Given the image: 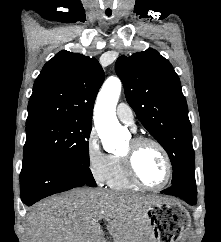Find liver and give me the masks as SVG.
I'll use <instances>...</instances> for the list:
<instances>
[{
    "label": "liver",
    "mask_w": 221,
    "mask_h": 242,
    "mask_svg": "<svg viewBox=\"0 0 221 242\" xmlns=\"http://www.w3.org/2000/svg\"><path fill=\"white\" fill-rule=\"evenodd\" d=\"M158 196L102 189H74L37 203L27 215L31 242H105L99 220L107 221L114 242H150L145 215Z\"/></svg>",
    "instance_id": "6515ba94"
}]
</instances>
